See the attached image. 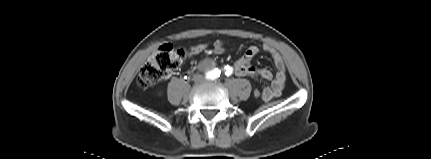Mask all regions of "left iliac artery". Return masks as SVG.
Masks as SVG:
<instances>
[{"instance_id": "left-iliac-artery-1", "label": "left iliac artery", "mask_w": 431, "mask_h": 159, "mask_svg": "<svg viewBox=\"0 0 431 159\" xmlns=\"http://www.w3.org/2000/svg\"><path fill=\"white\" fill-rule=\"evenodd\" d=\"M231 73H232V71H231L230 67L229 66L225 67V75L229 76V75H231ZM217 75L218 74L215 73L213 78H216Z\"/></svg>"}]
</instances>
